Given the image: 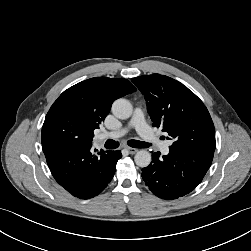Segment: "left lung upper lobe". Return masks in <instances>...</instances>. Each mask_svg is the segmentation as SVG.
Returning a JSON list of instances; mask_svg holds the SVG:
<instances>
[{
    "label": "left lung upper lobe",
    "instance_id": "left-lung-upper-lobe-1",
    "mask_svg": "<svg viewBox=\"0 0 251 251\" xmlns=\"http://www.w3.org/2000/svg\"><path fill=\"white\" fill-rule=\"evenodd\" d=\"M132 82L145 96L154 127L173 139L169 149L215 150V128L203 102L180 82L160 74L139 76Z\"/></svg>",
    "mask_w": 251,
    "mask_h": 251
}]
</instances>
